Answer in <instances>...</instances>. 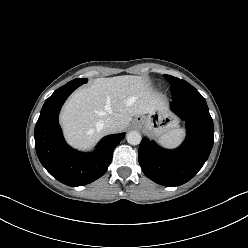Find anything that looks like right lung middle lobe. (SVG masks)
Listing matches in <instances>:
<instances>
[{
  "label": "right lung middle lobe",
  "instance_id": "obj_1",
  "mask_svg": "<svg viewBox=\"0 0 248 248\" xmlns=\"http://www.w3.org/2000/svg\"><path fill=\"white\" fill-rule=\"evenodd\" d=\"M86 82H87V79L78 78V79H74V80L68 82L67 84L80 83L82 85L83 83H86Z\"/></svg>",
  "mask_w": 248,
  "mask_h": 248
}]
</instances>
